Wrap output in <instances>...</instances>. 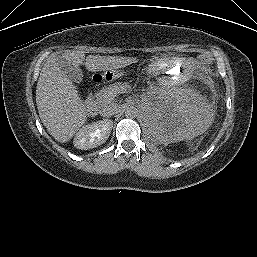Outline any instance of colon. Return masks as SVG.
<instances>
[{"instance_id": "1", "label": "colon", "mask_w": 257, "mask_h": 257, "mask_svg": "<svg viewBox=\"0 0 257 257\" xmlns=\"http://www.w3.org/2000/svg\"><path fill=\"white\" fill-rule=\"evenodd\" d=\"M199 61L205 65H209L212 63V57L208 54H201L199 55ZM124 75L123 71L120 70H110V71H105L102 73H99L95 76V80L98 82H107V81H112L116 78H119Z\"/></svg>"}]
</instances>
